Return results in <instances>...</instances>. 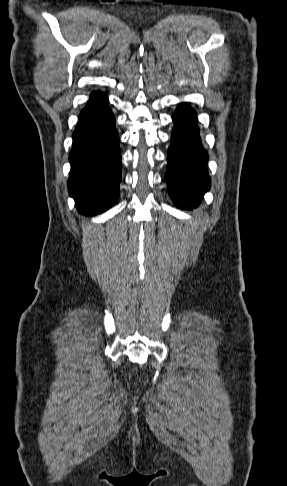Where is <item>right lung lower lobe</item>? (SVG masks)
Masks as SVG:
<instances>
[{"label":"right lung lower lobe","instance_id":"98d812e1","mask_svg":"<svg viewBox=\"0 0 287 486\" xmlns=\"http://www.w3.org/2000/svg\"><path fill=\"white\" fill-rule=\"evenodd\" d=\"M68 190L81 214L109 209L119 197L121 154L107 96L93 91L79 115L70 152Z\"/></svg>","mask_w":287,"mask_h":486}]
</instances>
